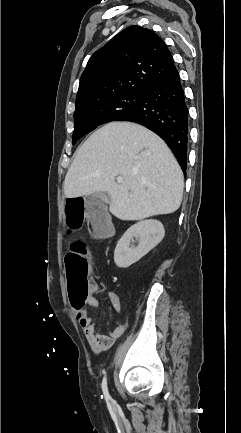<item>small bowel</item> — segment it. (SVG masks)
<instances>
[{
    "label": "small bowel",
    "mask_w": 241,
    "mask_h": 433,
    "mask_svg": "<svg viewBox=\"0 0 241 433\" xmlns=\"http://www.w3.org/2000/svg\"><path fill=\"white\" fill-rule=\"evenodd\" d=\"M93 292L94 293L98 292L97 286H93ZM107 296L115 313L120 314L121 302L117 293L115 291L110 290L107 292ZM87 304L91 307L99 306V301L93 295V293H92V297L87 301ZM75 316L80 326L83 329L84 335L89 345L96 353H100L109 349L111 345L118 338H120L125 331V325L122 322L117 321L115 327L110 331L109 334L106 335L98 332L95 328V324L92 318L89 316L88 311L86 309L83 312H75Z\"/></svg>",
    "instance_id": "small-bowel-1"
}]
</instances>
